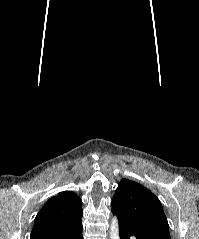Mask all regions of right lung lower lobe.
I'll return each mask as SVG.
<instances>
[{"label": "right lung lower lobe", "mask_w": 199, "mask_h": 239, "mask_svg": "<svg viewBox=\"0 0 199 239\" xmlns=\"http://www.w3.org/2000/svg\"><path fill=\"white\" fill-rule=\"evenodd\" d=\"M30 239H83L81 219L57 230L32 233Z\"/></svg>", "instance_id": "obj_1"}]
</instances>
